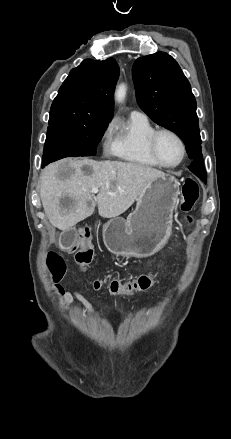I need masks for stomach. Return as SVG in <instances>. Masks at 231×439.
<instances>
[{
    "label": "stomach",
    "instance_id": "0dacf381",
    "mask_svg": "<svg viewBox=\"0 0 231 439\" xmlns=\"http://www.w3.org/2000/svg\"><path fill=\"white\" fill-rule=\"evenodd\" d=\"M178 180L164 174L150 182L136 199L134 212L103 226L107 249L124 257L146 258L158 252L172 232L173 211L180 194Z\"/></svg>",
    "mask_w": 231,
    "mask_h": 439
}]
</instances>
